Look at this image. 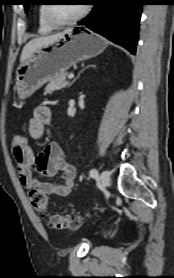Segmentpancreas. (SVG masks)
Here are the masks:
<instances>
[{"instance_id": "cf45deb5", "label": "pancreas", "mask_w": 174, "mask_h": 278, "mask_svg": "<svg viewBox=\"0 0 174 278\" xmlns=\"http://www.w3.org/2000/svg\"><path fill=\"white\" fill-rule=\"evenodd\" d=\"M67 73H63L52 80L45 88V94H52L56 90H61L68 84L67 80Z\"/></svg>"}]
</instances>
